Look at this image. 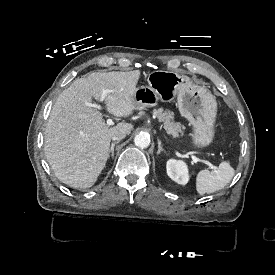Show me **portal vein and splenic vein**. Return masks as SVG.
<instances>
[{
    "label": "portal vein and splenic vein",
    "instance_id": "portal-vein-and-splenic-vein-1",
    "mask_svg": "<svg viewBox=\"0 0 275 275\" xmlns=\"http://www.w3.org/2000/svg\"><path fill=\"white\" fill-rule=\"evenodd\" d=\"M108 93H109V90H103L100 101H104V99H105V97L107 96ZM85 104L89 107H94V108H97V109H101V106L97 105V104H93V103H89V102H87ZM107 125H109V126L114 125L113 120L112 119H107ZM192 159L195 163L196 162L204 163V164L210 166L211 169H215V166L207 160H200L199 158H195V156H192Z\"/></svg>",
    "mask_w": 275,
    "mask_h": 275
}]
</instances>
